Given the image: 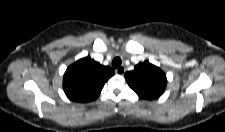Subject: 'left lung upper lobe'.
<instances>
[{"label":"left lung upper lobe","instance_id":"obj_1","mask_svg":"<svg viewBox=\"0 0 225 132\" xmlns=\"http://www.w3.org/2000/svg\"><path fill=\"white\" fill-rule=\"evenodd\" d=\"M129 87L144 99L160 97L167 85L165 73L149 61L139 63L133 71L125 73Z\"/></svg>","mask_w":225,"mask_h":132}]
</instances>
